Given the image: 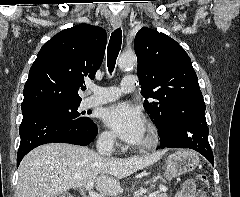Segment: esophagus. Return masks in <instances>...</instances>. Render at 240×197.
Segmentation results:
<instances>
[{
  "mask_svg": "<svg viewBox=\"0 0 240 197\" xmlns=\"http://www.w3.org/2000/svg\"><path fill=\"white\" fill-rule=\"evenodd\" d=\"M110 22L114 29L119 28L122 24L120 17L116 15L111 16Z\"/></svg>",
  "mask_w": 240,
  "mask_h": 197,
  "instance_id": "esophagus-1",
  "label": "esophagus"
}]
</instances>
